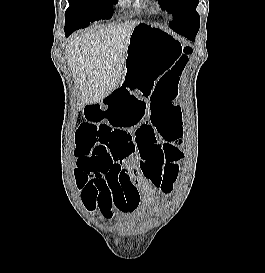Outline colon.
<instances>
[{
  "mask_svg": "<svg viewBox=\"0 0 265 273\" xmlns=\"http://www.w3.org/2000/svg\"><path fill=\"white\" fill-rule=\"evenodd\" d=\"M190 52L189 48H185L173 66L160 77L152 92V104L148 109L150 128H155V132L160 133L159 139L164 140L162 159H165V164L160 171L152 173V182L165 193L171 191L177 180L183 158V153L178 147L182 146L180 140L183 136V120L181 110L175 101L179 95V78ZM113 136L111 129H77L75 133L77 155L75 175L78 185L83 186L87 194H95V185L99 182L89 179V175L94 171L104 172L109 165L106 150Z\"/></svg>",
  "mask_w": 265,
  "mask_h": 273,
  "instance_id": "colon-1",
  "label": "colon"
}]
</instances>
